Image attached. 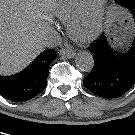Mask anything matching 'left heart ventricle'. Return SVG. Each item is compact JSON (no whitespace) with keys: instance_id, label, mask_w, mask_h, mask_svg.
<instances>
[{"instance_id":"obj_1","label":"left heart ventricle","mask_w":135,"mask_h":135,"mask_svg":"<svg viewBox=\"0 0 135 135\" xmlns=\"http://www.w3.org/2000/svg\"><path fill=\"white\" fill-rule=\"evenodd\" d=\"M90 30V25L87 23V24H83L81 26L78 27L77 29V34L79 36H84L85 34H87Z\"/></svg>"}]
</instances>
